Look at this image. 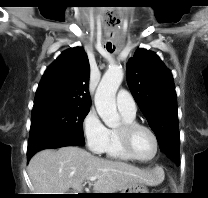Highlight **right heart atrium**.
<instances>
[{"label": "right heart atrium", "instance_id": "right-heart-atrium-1", "mask_svg": "<svg viewBox=\"0 0 208 198\" xmlns=\"http://www.w3.org/2000/svg\"><path fill=\"white\" fill-rule=\"evenodd\" d=\"M82 130L88 149L95 154H102L108 139V129L95 110L91 109L85 115Z\"/></svg>", "mask_w": 208, "mask_h": 198}]
</instances>
